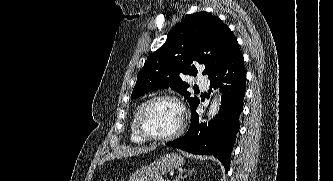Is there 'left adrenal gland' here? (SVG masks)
<instances>
[{
  "label": "left adrenal gland",
  "mask_w": 333,
  "mask_h": 181,
  "mask_svg": "<svg viewBox=\"0 0 333 181\" xmlns=\"http://www.w3.org/2000/svg\"><path fill=\"white\" fill-rule=\"evenodd\" d=\"M184 173H185V170H183L178 176H176L174 181H180L181 179L185 178L186 174H184ZM190 173H192V170L188 171V174H190Z\"/></svg>",
  "instance_id": "obj_1"
}]
</instances>
